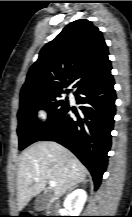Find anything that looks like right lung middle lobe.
Listing matches in <instances>:
<instances>
[{
    "instance_id": "1",
    "label": "right lung middle lobe",
    "mask_w": 132,
    "mask_h": 217,
    "mask_svg": "<svg viewBox=\"0 0 132 217\" xmlns=\"http://www.w3.org/2000/svg\"><path fill=\"white\" fill-rule=\"evenodd\" d=\"M61 94L20 98L19 125L17 129L19 150H23L30 144L39 141L69 107L67 99H61ZM39 109H45L48 112V120L45 124L39 123L36 119V113Z\"/></svg>"
}]
</instances>
